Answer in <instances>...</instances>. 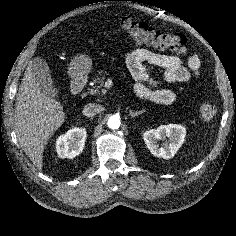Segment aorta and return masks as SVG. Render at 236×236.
Segmentation results:
<instances>
[{"mask_svg": "<svg viewBox=\"0 0 236 236\" xmlns=\"http://www.w3.org/2000/svg\"><path fill=\"white\" fill-rule=\"evenodd\" d=\"M120 124V118L116 115H113L108 119V127L110 129H118Z\"/></svg>", "mask_w": 236, "mask_h": 236, "instance_id": "aorta-1", "label": "aorta"}]
</instances>
